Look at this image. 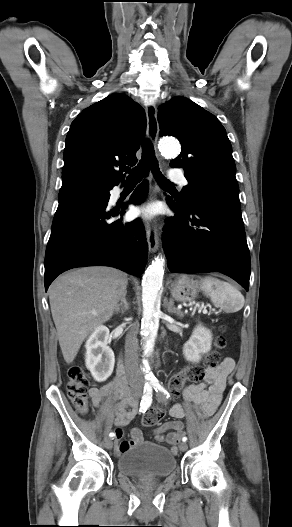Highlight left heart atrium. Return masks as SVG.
I'll use <instances>...</instances> for the list:
<instances>
[{
    "mask_svg": "<svg viewBox=\"0 0 292 527\" xmlns=\"http://www.w3.org/2000/svg\"><path fill=\"white\" fill-rule=\"evenodd\" d=\"M137 214L149 218L153 215V208L151 206L142 207L137 210Z\"/></svg>",
    "mask_w": 292,
    "mask_h": 527,
    "instance_id": "1",
    "label": "left heart atrium"
}]
</instances>
